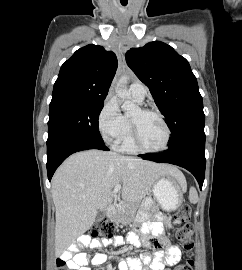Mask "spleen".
I'll return each mask as SVG.
<instances>
[{
  "instance_id": "3e777b00",
  "label": "spleen",
  "mask_w": 242,
  "mask_h": 270,
  "mask_svg": "<svg viewBox=\"0 0 242 270\" xmlns=\"http://www.w3.org/2000/svg\"><path fill=\"white\" fill-rule=\"evenodd\" d=\"M184 183H186L184 181ZM189 201L193 204L197 203L198 202V194H197V191L195 188H190V191H189Z\"/></svg>"
}]
</instances>
